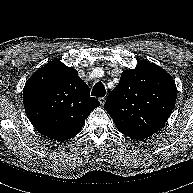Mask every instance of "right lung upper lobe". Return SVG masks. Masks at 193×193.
<instances>
[{"mask_svg": "<svg viewBox=\"0 0 193 193\" xmlns=\"http://www.w3.org/2000/svg\"><path fill=\"white\" fill-rule=\"evenodd\" d=\"M26 114L34 127L53 140L77 135L91 111L100 105L90 97L76 69L55 59L39 68L23 89Z\"/></svg>", "mask_w": 193, "mask_h": 193, "instance_id": "right-lung-upper-lobe-1", "label": "right lung upper lobe"}]
</instances>
